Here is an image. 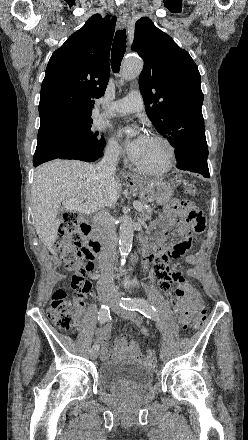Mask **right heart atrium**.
Segmentation results:
<instances>
[{"instance_id":"right-heart-atrium-1","label":"right heart atrium","mask_w":248,"mask_h":440,"mask_svg":"<svg viewBox=\"0 0 248 440\" xmlns=\"http://www.w3.org/2000/svg\"><path fill=\"white\" fill-rule=\"evenodd\" d=\"M105 154L107 158L111 161L118 162L122 158V150L118 143L112 139L109 138L107 140L106 146H105Z\"/></svg>"}]
</instances>
